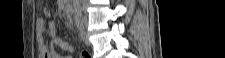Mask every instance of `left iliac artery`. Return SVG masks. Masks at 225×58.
<instances>
[{
    "label": "left iliac artery",
    "instance_id": "obj_1",
    "mask_svg": "<svg viewBox=\"0 0 225 58\" xmlns=\"http://www.w3.org/2000/svg\"><path fill=\"white\" fill-rule=\"evenodd\" d=\"M76 25L79 30L83 28V23L80 17L76 18Z\"/></svg>",
    "mask_w": 225,
    "mask_h": 58
}]
</instances>
